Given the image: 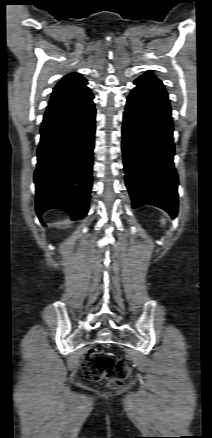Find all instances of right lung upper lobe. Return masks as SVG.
<instances>
[{"label": "right lung upper lobe", "mask_w": 212, "mask_h": 438, "mask_svg": "<svg viewBox=\"0 0 212 438\" xmlns=\"http://www.w3.org/2000/svg\"><path fill=\"white\" fill-rule=\"evenodd\" d=\"M87 81L78 73L66 75L54 88L49 105L82 99L91 94Z\"/></svg>", "instance_id": "obj_1"}]
</instances>
